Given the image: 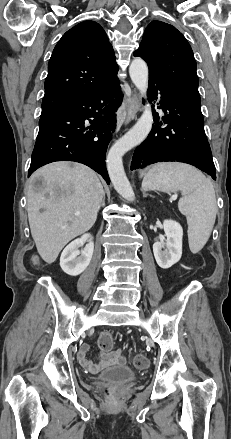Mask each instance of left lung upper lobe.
<instances>
[{"label": "left lung upper lobe", "instance_id": "obj_1", "mask_svg": "<svg viewBox=\"0 0 231 439\" xmlns=\"http://www.w3.org/2000/svg\"><path fill=\"white\" fill-rule=\"evenodd\" d=\"M134 56L147 62L149 74L160 78L192 105L200 108L199 80L193 51L175 27L152 21Z\"/></svg>", "mask_w": 231, "mask_h": 439}]
</instances>
